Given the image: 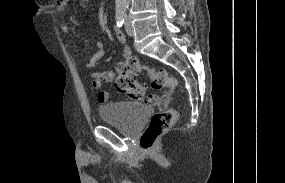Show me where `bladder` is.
I'll return each mask as SVG.
<instances>
[{
  "label": "bladder",
  "mask_w": 285,
  "mask_h": 183,
  "mask_svg": "<svg viewBox=\"0 0 285 183\" xmlns=\"http://www.w3.org/2000/svg\"><path fill=\"white\" fill-rule=\"evenodd\" d=\"M152 114L150 105L127 102L107 103L99 110L103 122L114 124L125 132L137 130Z\"/></svg>",
  "instance_id": "1"
}]
</instances>
